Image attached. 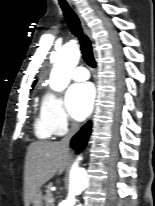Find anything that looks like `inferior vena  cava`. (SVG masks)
Returning a JSON list of instances; mask_svg holds the SVG:
<instances>
[{
    "label": "inferior vena cava",
    "mask_w": 155,
    "mask_h": 206,
    "mask_svg": "<svg viewBox=\"0 0 155 206\" xmlns=\"http://www.w3.org/2000/svg\"><path fill=\"white\" fill-rule=\"evenodd\" d=\"M79 129V124L76 122H72L70 124V130L67 133V135L61 140V143L68 149L69 143L73 135L76 133V131Z\"/></svg>",
    "instance_id": "inferior-vena-cava-1"
}]
</instances>
